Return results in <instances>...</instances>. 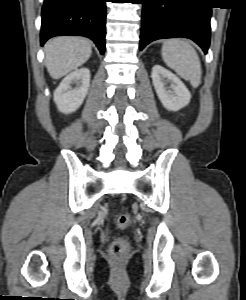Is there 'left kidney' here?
Segmentation results:
<instances>
[{"label": "left kidney", "mask_w": 246, "mask_h": 300, "mask_svg": "<svg viewBox=\"0 0 246 300\" xmlns=\"http://www.w3.org/2000/svg\"><path fill=\"white\" fill-rule=\"evenodd\" d=\"M151 77L158 98L166 109L178 111L189 104L191 99L189 90L171 71L155 65Z\"/></svg>", "instance_id": "left-kidney-1"}]
</instances>
